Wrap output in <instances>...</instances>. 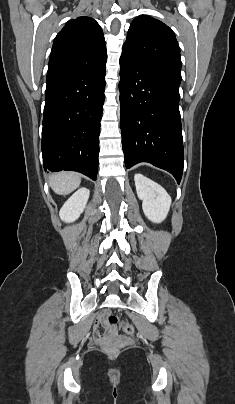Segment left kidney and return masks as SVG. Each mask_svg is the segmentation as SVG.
<instances>
[{
    "label": "left kidney",
    "instance_id": "obj_1",
    "mask_svg": "<svg viewBox=\"0 0 235 404\" xmlns=\"http://www.w3.org/2000/svg\"><path fill=\"white\" fill-rule=\"evenodd\" d=\"M134 181L145 216L154 223H161L169 212L170 196L163 187L140 173L135 174Z\"/></svg>",
    "mask_w": 235,
    "mask_h": 404
}]
</instances>
